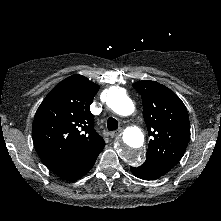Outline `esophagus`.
<instances>
[{
	"instance_id": "1",
	"label": "esophagus",
	"mask_w": 221,
	"mask_h": 221,
	"mask_svg": "<svg viewBox=\"0 0 221 221\" xmlns=\"http://www.w3.org/2000/svg\"><path fill=\"white\" fill-rule=\"evenodd\" d=\"M121 132H122V129H118V130L110 132L109 135L113 138L121 134Z\"/></svg>"
}]
</instances>
